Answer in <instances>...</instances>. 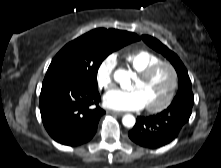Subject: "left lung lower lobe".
Wrapping results in <instances>:
<instances>
[{
    "label": "left lung lower lobe",
    "instance_id": "left-lung-lower-lobe-1",
    "mask_svg": "<svg viewBox=\"0 0 221 168\" xmlns=\"http://www.w3.org/2000/svg\"><path fill=\"white\" fill-rule=\"evenodd\" d=\"M194 101L171 103L164 111L148 117H137L129 131L130 139L145 148H159L173 141L188 122Z\"/></svg>",
    "mask_w": 221,
    "mask_h": 168
}]
</instances>
